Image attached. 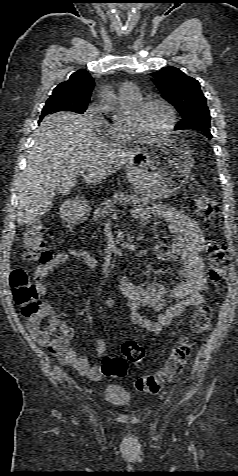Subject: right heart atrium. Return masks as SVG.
<instances>
[{"instance_id": "right-heart-atrium-1", "label": "right heart atrium", "mask_w": 238, "mask_h": 476, "mask_svg": "<svg viewBox=\"0 0 238 476\" xmlns=\"http://www.w3.org/2000/svg\"><path fill=\"white\" fill-rule=\"evenodd\" d=\"M87 117L92 124V126L97 130V132L105 137L111 138L112 131L110 126L100 115V107L97 103L92 104L87 109Z\"/></svg>"}]
</instances>
